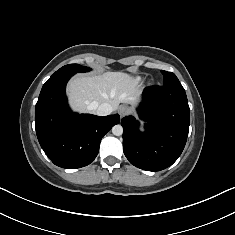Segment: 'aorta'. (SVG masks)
Listing matches in <instances>:
<instances>
[{
	"mask_svg": "<svg viewBox=\"0 0 235 235\" xmlns=\"http://www.w3.org/2000/svg\"><path fill=\"white\" fill-rule=\"evenodd\" d=\"M112 133L115 135V136H120L122 135L123 133V127L121 125H115L113 126L112 128Z\"/></svg>",
	"mask_w": 235,
	"mask_h": 235,
	"instance_id": "obj_1",
	"label": "aorta"
}]
</instances>
